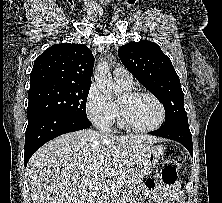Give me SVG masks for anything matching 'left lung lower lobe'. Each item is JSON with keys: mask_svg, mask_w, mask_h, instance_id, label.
Returning a JSON list of instances; mask_svg holds the SVG:
<instances>
[{"mask_svg": "<svg viewBox=\"0 0 222 203\" xmlns=\"http://www.w3.org/2000/svg\"><path fill=\"white\" fill-rule=\"evenodd\" d=\"M148 134L175 140L184 145L191 156L193 155L192 135L189 126L173 125L161 127L160 129L149 132Z\"/></svg>", "mask_w": 222, "mask_h": 203, "instance_id": "left-lung-lower-lobe-1", "label": "left lung lower lobe"}]
</instances>
